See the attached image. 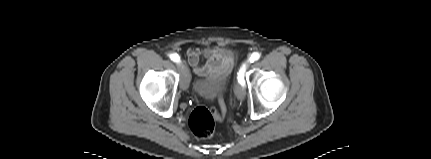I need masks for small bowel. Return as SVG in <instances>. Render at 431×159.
Segmentation results:
<instances>
[{
  "label": "small bowel",
  "mask_w": 431,
  "mask_h": 159,
  "mask_svg": "<svg viewBox=\"0 0 431 159\" xmlns=\"http://www.w3.org/2000/svg\"><path fill=\"white\" fill-rule=\"evenodd\" d=\"M187 58L193 72L202 77L228 75L234 65L233 53L219 47L190 48L187 51ZM201 58H205L206 61L201 63Z\"/></svg>",
  "instance_id": "1"
}]
</instances>
